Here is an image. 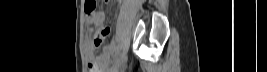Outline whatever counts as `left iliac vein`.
<instances>
[{
  "label": "left iliac vein",
  "mask_w": 267,
  "mask_h": 72,
  "mask_svg": "<svg viewBox=\"0 0 267 72\" xmlns=\"http://www.w3.org/2000/svg\"><path fill=\"white\" fill-rule=\"evenodd\" d=\"M125 63V59H123V61L118 65L116 66L115 68H113L111 71L112 72H117L119 70V68Z\"/></svg>",
  "instance_id": "1"
}]
</instances>
